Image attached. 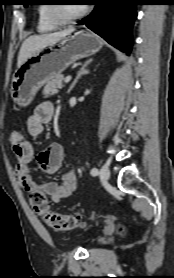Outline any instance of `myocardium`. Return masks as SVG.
<instances>
[{"label": "myocardium", "instance_id": "f54148a6", "mask_svg": "<svg viewBox=\"0 0 174 278\" xmlns=\"http://www.w3.org/2000/svg\"><path fill=\"white\" fill-rule=\"evenodd\" d=\"M63 6L58 4H52L49 6V16L53 22L58 25H65L72 23L80 18L84 17L88 12V6H83V8L74 15H66L62 10Z\"/></svg>", "mask_w": 174, "mask_h": 278}]
</instances>
